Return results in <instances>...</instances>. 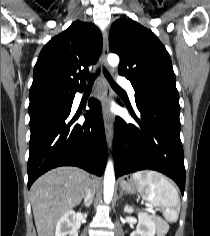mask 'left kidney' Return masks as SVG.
Instances as JSON below:
<instances>
[{"label":"left kidney","instance_id":"obj_1","mask_svg":"<svg viewBox=\"0 0 210 236\" xmlns=\"http://www.w3.org/2000/svg\"><path fill=\"white\" fill-rule=\"evenodd\" d=\"M134 209L131 206L126 205L124 207L125 213H133ZM156 233V223L153 217L139 212L138 224L136 231L132 232L130 236H154Z\"/></svg>","mask_w":210,"mask_h":236}]
</instances>
